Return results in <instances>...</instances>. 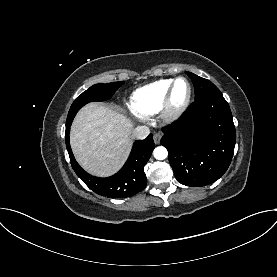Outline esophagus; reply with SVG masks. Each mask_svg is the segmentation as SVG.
Listing matches in <instances>:
<instances>
[{"instance_id": "esophagus-1", "label": "esophagus", "mask_w": 277, "mask_h": 277, "mask_svg": "<svg viewBox=\"0 0 277 277\" xmlns=\"http://www.w3.org/2000/svg\"><path fill=\"white\" fill-rule=\"evenodd\" d=\"M162 135L160 133H156L154 134V143L155 144H159L160 143V139H161Z\"/></svg>"}]
</instances>
